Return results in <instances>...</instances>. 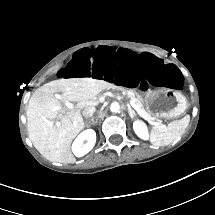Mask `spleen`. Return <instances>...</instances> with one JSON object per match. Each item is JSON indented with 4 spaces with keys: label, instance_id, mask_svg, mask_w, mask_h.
I'll return each instance as SVG.
<instances>
[{
    "label": "spleen",
    "instance_id": "spleen-1",
    "mask_svg": "<svg viewBox=\"0 0 215 215\" xmlns=\"http://www.w3.org/2000/svg\"><path fill=\"white\" fill-rule=\"evenodd\" d=\"M189 118V115H186L180 120L170 122L167 127L155 126L151 132V143L157 146L172 143L181 134V130L184 129V122Z\"/></svg>",
    "mask_w": 215,
    "mask_h": 215
}]
</instances>
